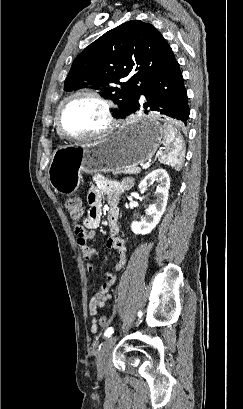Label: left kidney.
<instances>
[{"label":"left kidney","mask_w":243,"mask_h":409,"mask_svg":"<svg viewBox=\"0 0 243 409\" xmlns=\"http://www.w3.org/2000/svg\"><path fill=\"white\" fill-rule=\"evenodd\" d=\"M154 182L158 183L155 192L156 199L153 204L145 210V216L140 222L133 221L131 230L134 234L145 235L150 233L159 223L167 206L168 194L170 188V178L164 169H156L146 175L139 184L140 190H146Z\"/></svg>","instance_id":"5707ae66"}]
</instances>
